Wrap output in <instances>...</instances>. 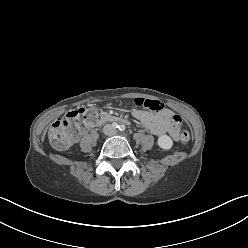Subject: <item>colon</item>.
Returning <instances> with one entry per match:
<instances>
[{"mask_svg": "<svg viewBox=\"0 0 248 248\" xmlns=\"http://www.w3.org/2000/svg\"><path fill=\"white\" fill-rule=\"evenodd\" d=\"M134 104L153 111L165 109L160 102L146 98H136ZM96 119L97 112L92 107H82L70 111L66 116L58 118L52 123L48 133L51 145L57 150L69 148L72 142L77 140L82 132L93 124ZM174 120L177 123L181 122V118L178 115L174 116ZM189 139V132L186 130L182 131L181 141L187 143Z\"/></svg>", "mask_w": 248, "mask_h": 248, "instance_id": "obj_1", "label": "colon"}]
</instances>
